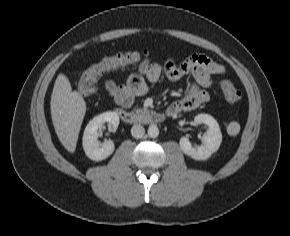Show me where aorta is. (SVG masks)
<instances>
[{"instance_id": "762f6f07", "label": "aorta", "mask_w": 290, "mask_h": 236, "mask_svg": "<svg viewBox=\"0 0 290 236\" xmlns=\"http://www.w3.org/2000/svg\"><path fill=\"white\" fill-rule=\"evenodd\" d=\"M159 135V129L156 125H151L148 128V136L151 138H156Z\"/></svg>"}]
</instances>
